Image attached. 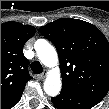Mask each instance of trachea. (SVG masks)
<instances>
[{
  "mask_svg": "<svg viewBox=\"0 0 109 109\" xmlns=\"http://www.w3.org/2000/svg\"><path fill=\"white\" fill-rule=\"evenodd\" d=\"M31 70L34 74H40L43 71V67L39 62L35 61L31 63Z\"/></svg>",
  "mask_w": 109,
  "mask_h": 109,
  "instance_id": "3493384b",
  "label": "trachea"
}]
</instances>
